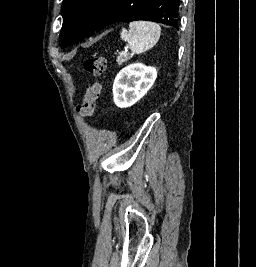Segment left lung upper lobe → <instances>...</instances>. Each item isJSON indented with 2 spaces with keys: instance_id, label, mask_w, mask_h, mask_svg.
Returning a JSON list of instances; mask_svg holds the SVG:
<instances>
[{
  "instance_id": "5c2ea615",
  "label": "left lung upper lobe",
  "mask_w": 256,
  "mask_h": 267,
  "mask_svg": "<svg viewBox=\"0 0 256 267\" xmlns=\"http://www.w3.org/2000/svg\"><path fill=\"white\" fill-rule=\"evenodd\" d=\"M62 16L63 47L116 21L149 20L179 29L175 0H63Z\"/></svg>"
}]
</instances>
